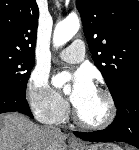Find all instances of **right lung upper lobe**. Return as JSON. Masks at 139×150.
<instances>
[{
	"mask_svg": "<svg viewBox=\"0 0 139 150\" xmlns=\"http://www.w3.org/2000/svg\"><path fill=\"white\" fill-rule=\"evenodd\" d=\"M38 18L36 0H0V50L35 57Z\"/></svg>",
	"mask_w": 139,
	"mask_h": 150,
	"instance_id": "obj_1",
	"label": "right lung upper lobe"
}]
</instances>
